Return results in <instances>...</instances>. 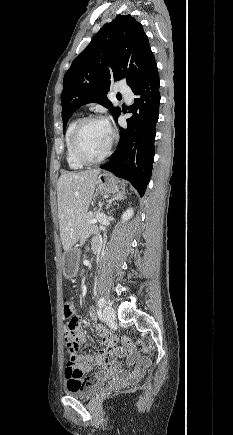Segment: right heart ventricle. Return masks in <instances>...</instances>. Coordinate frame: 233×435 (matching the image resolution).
Wrapping results in <instances>:
<instances>
[{
    "instance_id": "e07e8e85",
    "label": "right heart ventricle",
    "mask_w": 233,
    "mask_h": 435,
    "mask_svg": "<svg viewBox=\"0 0 233 435\" xmlns=\"http://www.w3.org/2000/svg\"><path fill=\"white\" fill-rule=\"evenodd\" d=\"M81 118L74 119L68 126L65 134V147H66V162L68 167L74 170L82 169L85 164H83L81 161H79L72 148V133L76 126V124L79 122Z\"/></svg>"
}]
</instances>
